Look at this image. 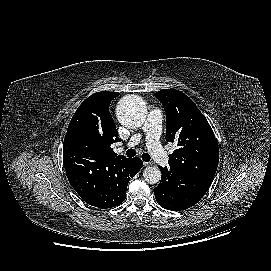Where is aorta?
I'll use <instances>...</instances> for the list:
<instances>
[{
  "label": "aorta",
  "mask_w": 271,
  "mask_h": 271,
  "mask_svg": "<svg viewBox=\"0 0 271 271\" xmlns=\"http://www.w3.org/2000/svg\"><path fill=\"white\" fill-rule=\"evenodd\" d=\"M147 109L141 98L135 95L123 97L117 106V118L125 127L136 129L142 126ZM144 180L156 184L161 180V172L155 166H149L143 171Z\"/></svg>",
  "instance_id": "obj_1"
}]
</instances>
